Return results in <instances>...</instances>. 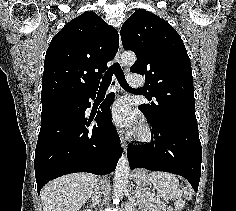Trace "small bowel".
<instances>
[{
    "mask_svg": "<svg viewBox=\"0 0 236 211\" xmlns=\"http://www.w3.org/2000/svg\"><path fill=\"white\" fill-rule=\"evenodd\" d=\"M145 211H172L170 208L166 207L162 202L158 201L155 203L153 208Z\"/></svg>",
    "mask_w": 236,
    "mask_h": 211,
    "instance_id": "small-bowel-1",
    "label": "small bowel"
}]
</instances>
